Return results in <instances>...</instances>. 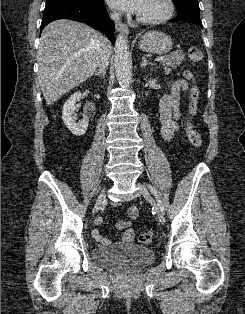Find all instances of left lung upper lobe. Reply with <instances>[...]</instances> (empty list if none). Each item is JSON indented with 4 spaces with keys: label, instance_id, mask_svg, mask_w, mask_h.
Here are the masks:
<instances>
[{
    "label": "left lung upper lobe",
    "instance_id": "5c2ea615",
    "mask_svg": "<svg viewBox=\"0 0 245 314\" xmlns=\"http://www.w3.org/2000/svg\"><path fill=\"white\" fill-rule=\"evenodd\" d=\"M177 11V18L190 20L196 24H202L199 16V4L197 0H172Z\"/></svg>",
    "mask_w": 245,
    "mask_h": 314
}]
</instances>
